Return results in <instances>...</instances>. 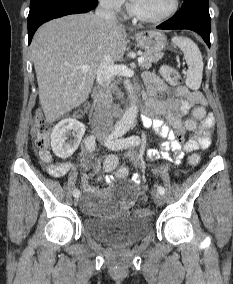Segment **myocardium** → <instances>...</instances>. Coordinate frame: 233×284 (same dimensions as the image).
I'll return each instance as SVG.
<instances>
[{
	"instance_id": "myocardium-1",
	"label": "myocardium",
	"mask_w": 233,
	"mask_h": 284,
	"mask_svg": "<svg viewBox=\"0 0 233 284\" xmlns=\"http://www.w3.org/2000/svg\"><path fill=\"white\" fill-rule=\"evenodd\" d=\"M179 3H180L179 0H172L170 8L165 13H163L162 15L156 16V17H150V16H146L138 12L135 9L132 1L130 0L128 4V11L133 17H135L136 19L140 21L147 22V23H160V22H163L169 19L178 11Z\"/></svg>"
}]
</instances>
